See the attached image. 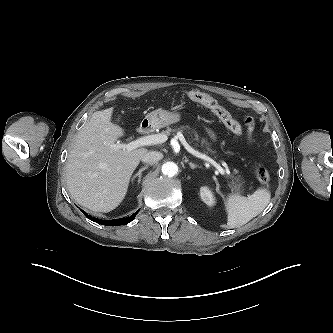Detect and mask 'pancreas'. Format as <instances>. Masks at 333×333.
<instances>
[{
	"label": "pancreas",
	"mask_w": 333,
	"mask_h": 333,
	"mask_svg": "<svg viewBox=\"0 0 333 333\" xmlns=\"http://www.w3.org/2000/svg\"><path fill=\"white\" fill-rule=\"evenodd\" d=\"M184 129H189V127L188 126H181L178 129H172V128L168 127L164 131V134L165 135H170L171 132H175V131L182 132ZM191 133L194 135V138L192 137V141L199 142L201 144L202 148L205 147L207 152H210V153L214 154V151L211 150L209 143L205 139H200L198 133L194 130H192ZM229 178L231 179V181L228 183V186L231 188V191L235 192V193H240L241 192V187H242L241 178L240 177H234L232 175H229Z\"/></svg>",
	"instance_id": "obj_1"
}]
</instances>
